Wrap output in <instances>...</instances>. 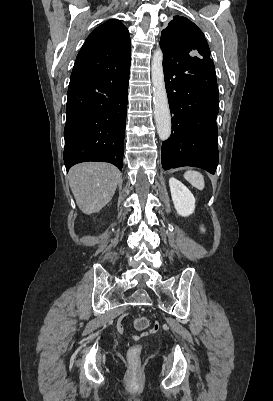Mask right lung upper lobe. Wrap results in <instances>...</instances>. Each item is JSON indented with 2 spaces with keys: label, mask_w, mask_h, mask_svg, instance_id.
<instances>
[{
  "label": "right lung upper lobe",
  "mask_w": 273,
  "mask_h": 401,
  "mask_svg": "<svg viewBox=\"0 0 273 401\" xmlns=\"http://www.w3.org/2000/svg\"><path fill=\"white\" fill-rule=\"evenodd\" d=\"M129 59L131 43L127 28L119 20H108L87 37L77 55L69 88L93 80Z\"/></svg>",
  "instance_id": "1"
}]
</instances>
